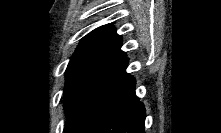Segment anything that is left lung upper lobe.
<instances>
[{"instance_id":"5c2ea615","label":"left lung upper lobe","mask_w":221,"mask_h":133,"mask_svg":"<svg viewBox=\"0 0 221 133\" xmlns=\"http://www.w3.org/2000/svg\"><path fill=\"white\" fill-rule=\"evenodd\" d=\"M120 48L121 37L111 24L93 30L80 41L66 70L65 112L91 82L125 57Z\"/></svg>"}]
</instances>
